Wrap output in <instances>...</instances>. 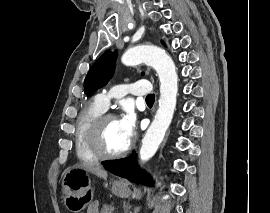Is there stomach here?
<instances>
[{"label": "stomach", "instance_id": "0dacf381", "mask_svg": "<svg viewBox=\"0 0 270 213\" xmlns=\"http://www.w3.org/2000/svg\"><path fill=\"white\" fill-rule=\"evenodd\" d=\"M111 191L116 196H130L129 183L125 180H114ZM62 198L66 208L72 213H79L86 208L93 198L92 181L88 171L69 168L63 173Z\"/></svg>", "mask_w": 270, "mask_h": 213}]
</instances>
